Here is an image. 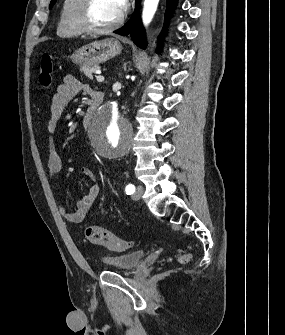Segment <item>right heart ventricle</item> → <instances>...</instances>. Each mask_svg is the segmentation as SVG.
Wrapping results in <instances>:
<instances>
[{"mask_svg": "<svg viewBox=\"0 0 285 335\" xmlns=\"http://www.w3.org/2000/svg\"><path fill=\"white\" fill-rule=\"evenodd\" d=\"M80 1H62L59 22L57 26V36L62 39H77L82 35V31L77 22V14Z\"/></svg>", "mask_w": 285, "mask_h": 335, "instance_id": "obj_1", "label": "right heart ventricle"}]
</instances>
